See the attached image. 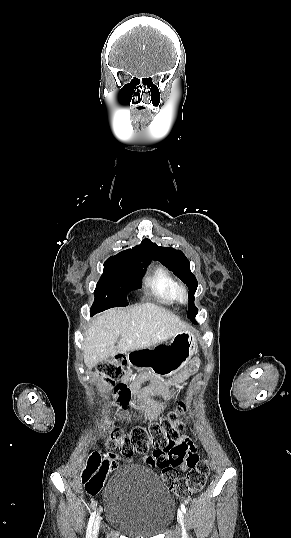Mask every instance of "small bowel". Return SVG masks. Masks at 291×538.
<instances>
[{
    "label": "small bowel",
    "mask_w": 291,
    "mask_h": 538,
    "mask_svg": "<svg viewBox=\"0 0 291 538\" xmlns=\"http://www.w3.org/2000/svg\"><path fill=\"white\" fill-rule=\"evenodd\" d=\"M199 370L198 360L191 358L188 363L180 364L178 369L174 371L173 376L175 379L158 380L153 378L148 386L141 388L142 383L147 380V377L144 375L131 376L128 372L123 377L122 383L131 386L135 398L134 408L141 411L147 418L155 419L163 412L167 403L177 396L178 390L188 376H197ZM157 395L163 396L166 402H155L152 399V396ZM119 417L124 419L129 418L128 415L122 413L119 414ZM179 440L181 442H186L192 450L196 451L195 445L190 437L182 435ZM143 460L148 464L155 466V464L151 462V457L143 458ZM181 467L185 468L187 466L183 465Z\"/></svg>",
    "instance_id": "obj_1"
}]
</instances>
